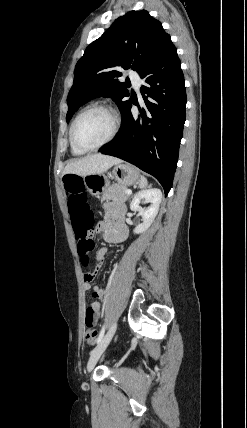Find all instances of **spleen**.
Instances as JSON below:
<instances>
[{"label":"spleen","instance_id":"spleen-1","mask_svg":"<svg viewBox=\"0 0 247 428\" xmlns=\"http://www.w3.org/2000/svg\"><path fill=\"white\" fill-rule=\"evenodd\" d=\"M148 182L147 179L144 176H141L139 186L140 188H145L147 186Z\"/></svg>","mask_w":247,"mask_h":428}]
</instances>
